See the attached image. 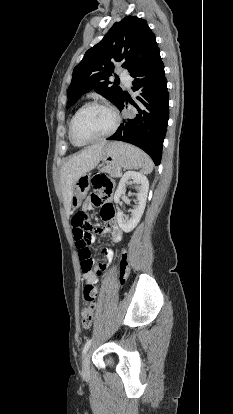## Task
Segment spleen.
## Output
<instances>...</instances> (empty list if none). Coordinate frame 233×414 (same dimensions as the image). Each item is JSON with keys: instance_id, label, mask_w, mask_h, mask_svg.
Returning a JSON list of instances; mask_svg holds the SVG:
<instances>
[{"instance_id": "spleen-1", "label": "spleen", "mask_w": 233, "mask_h": 414, "mask_svg": "<svg viewBox=\"0 0 233 414\" xmlns=\"http://www.w3.org/2000/svg\"><path fill=\"white\" fill-rule=\"evenodd\" d=\"M153 166L154 165H153V162H152L151 158L148 155L144 154V163L141 166V171L144 174H149V173L152 172Z\"/></svg>"}]
</instances>
